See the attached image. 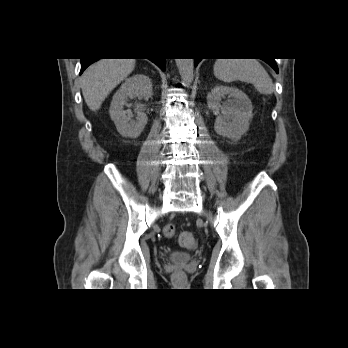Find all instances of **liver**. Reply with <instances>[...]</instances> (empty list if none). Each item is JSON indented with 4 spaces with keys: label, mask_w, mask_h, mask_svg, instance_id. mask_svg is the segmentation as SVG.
<instances>
[{
    "label": "liver",
    "mask_w": 348,
    "mask_h": 348,
    "mask_svg": "<svg viewBox=\"0 0 348 348\" xmlns=\"http://www.w3.org/2000/svg\"><path fill=\"white\" fill-rule=\"evenodd\" d=\"M134 67L135 59H100L90 65L81 77V89L89 109L98 110L110 92Z\"/></svg>",
    "instance_id": "liver-1"
}]
</instances>
